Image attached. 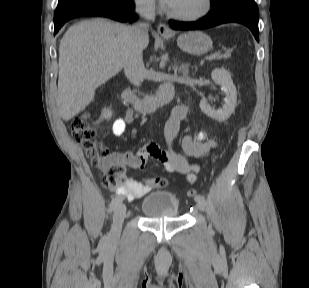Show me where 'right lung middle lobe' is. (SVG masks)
I'll return each mask as SVG.
<instances>
[{"instance_id": "dd1d6c3e", "label": "right lung middle lobe", "mask_w": 309, "mask_h": 288, "mask_svg": "<svg viewBox=\"0 0 309 288\" xmlns=\"http://www.w3.org/2000/svg\"><path fill=\"white\" fill-rule=\"evenodd\" d=\"M80 1L82 0H59L55 14L66 10L67 8L79 3Z\"/></svg>"}]
</instances>
